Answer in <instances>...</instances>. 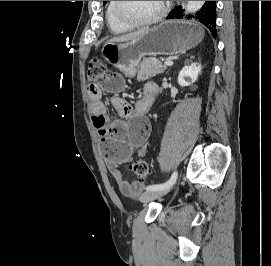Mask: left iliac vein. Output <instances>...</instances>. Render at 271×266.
I'll return each instance as SVG.
<instances>
[{"label": "left iliac vein", "mask_w": 271, "mask_h": 266, "mask_svg": "<svg viewBox=\"0 0 271 266\" xmlns=\"http://www.w3.org/2000/svg\"><path fill=\"white\" fill-rule=\"evenodd\" d=\"M172 189H173V185L168 187V188L161 189V190H149V191H146L140 196V201L144 202V203L153 201L155 199H158V198L166 195Z\"/></svg>", "instance_id": "obj_1"}]
</instances>
